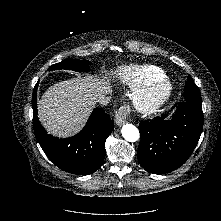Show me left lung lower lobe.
<instances>
[{"instance_id":"left-lung-lower-lobe-1","label":"left lung lower lobe","mask_w":221,"mask_h":221,"mask_svg":"<svg viewBox=\"0 0 221 221\" xmlns=\"http://www.w3.org/2000/svg\"><path fill=\"white\" fill-rule=\"evenodd\" d=\"M202 129V102L179 104L171 119L162 115L140 123V165L154 174L176 170L192 154Z\"/></svg>"}]
</instances>
